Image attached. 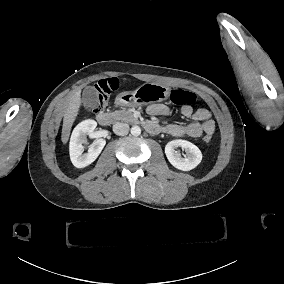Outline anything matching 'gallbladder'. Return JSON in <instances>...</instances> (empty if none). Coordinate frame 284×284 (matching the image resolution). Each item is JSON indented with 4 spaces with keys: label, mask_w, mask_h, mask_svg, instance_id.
Masks as SVG:
<instances>
[{
    "label": "gallbladder",
    "mask_w": 284,
    "mask_h": 284,
    "mask_svg": "<svg viewBox=\"0 0 284 284\" xmlns=\"http://www.w3.org/2000/svg\"><path fill=\"white\" fill-rule=\"evenodd\" d=\"M84 104L91 109H98L100 106L99 93L94 86H86L82 93Z\"/></svg>",
    "instance_id": "bac80fb5"
}]
</instances>
